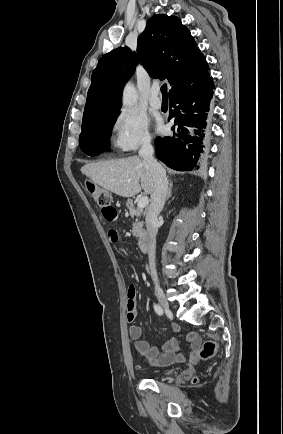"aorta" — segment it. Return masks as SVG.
I'll return each instance as SVG.
<instances>
[{"label": "aorta", "mask_w": 283, "mask_h": 434, "mask_svg": "<svg viewBox=\"0 0 283 434\" xmlns=\"http://www.w3.org/2000/svg\"><path fill=\"white\" fill-rule=\"evenodd\" d=\"M137 101V92L135 87L128 83L123 91L122 103L125 107L131 108Z\"/></svg>", "instance_id": "obj_1"}]
</instances>
